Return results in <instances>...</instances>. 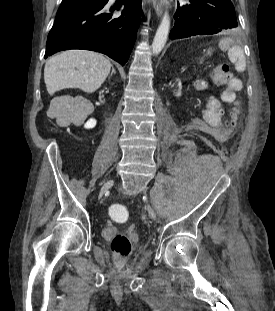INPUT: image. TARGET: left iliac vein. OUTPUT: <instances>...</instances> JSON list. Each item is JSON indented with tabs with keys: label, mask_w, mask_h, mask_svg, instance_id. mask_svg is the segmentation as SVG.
<instances>
[{
	"label": "left iliac vein",
	"mask_w": 275,
	"mask_h": 311,
	"mask_svg": "<svg viewBox=\"0 0 275 311\" xmlns=\"http://www.w3.org/2000/svg\"><path fill=\"white\" fill-rule=\"evenodd\" d=\"M148 214L149 216L152 218V219H155L156 218V214L154 212V210L151 208V207H148Z\"/></svg>",
	"instance_id": "4c4485c4"
}]
</instances>
